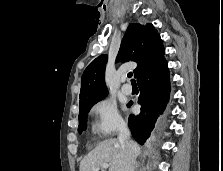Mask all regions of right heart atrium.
Listing matches in <instances>:
<instances>
[{
  "label": "right heart atrium",
  "instance_id": "obj_1",
  "mask_svg": "<svg viewBox=\"0 0 223 171\" xmlns=\"http://www.w3.org/2000/svg\"><path fill=\"white\" fill-rule=\"evenodd\" d=\"M91 115L93 131L100 137L115 135L125 127V122L116 104L108 99L98 101L92 107Z\"/></svg>",
  "mask_w": 223,
  "mask_h": 171
}]
</instances>
